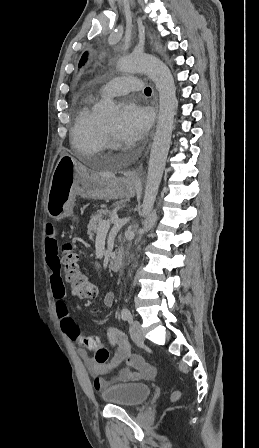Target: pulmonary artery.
I'll return each mask as SVG.
<instances>
[{
    "label": "pulmonary artery",
    "instance_id": "e3ab8cb5",
    "mask_svg": "<svg viewBox=\"0 0 259 448\" xmlns=\"http://www.w3.org/2000/svg\"><path fill=\"white\" fill-rule=\"evenodd\" d=\"M122 71L125 73H134L137 72V69L131 66H122ZM129 76L121 75L113 78L111 81L106 83L104 86H102L99 90L100 96L102 97H109V96H116V95H122L129 92V89H126L124 87L119 86V82L128 78Z\"/></svg>",
    "mask_w": 259,
    "mask_h": 448
}]
</instances>
